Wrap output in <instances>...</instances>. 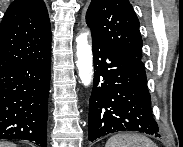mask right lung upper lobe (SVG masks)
<instances>
[{
  "label": "right lung upper lobe",
  "mask_w": 183,
  "mask_h": 147,
  "mask_svg": "<svg viewBox=\"0 0 183 147\" xmlns=\"http://www.w3.org/2000/svg\"><path fill=\"white\" fill-rule=\"evenodd\" d=\"M43 0H15L0 25V71L51 50V30Z\"/></svg>",
  "instance_id": "1"
}]
</instances>
